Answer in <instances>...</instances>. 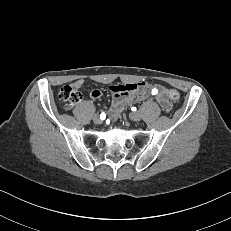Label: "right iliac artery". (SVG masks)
<instances>
[{
    "label": "right iliac artery",
    "mask_w": 231,
    "mask_h": 231,
    "mask_svg": "<svg viewBox=\"0 0 231 231\" xmlns=\"http://www.w3.org/2000/svg\"><path fill=\"white\" fill-rule=\"evenodd\" d=\"M100 118H101V120H104L106 118V114L104 112L101 113Z\"/></svg>",
    "instance_id": "right-iliac-artery-1"
}]
</instances>
